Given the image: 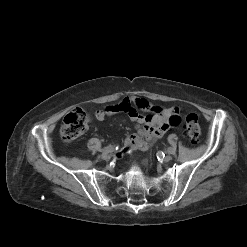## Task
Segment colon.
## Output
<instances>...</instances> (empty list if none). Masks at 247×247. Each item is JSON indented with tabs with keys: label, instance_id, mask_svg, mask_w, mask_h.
<instances>
[{
	"label": "colon",
	"instance_id": "colon-1",
	"mask_svg": "<svg viewBox=\"0 0 247 247\" xmlns=\"http://www.w3.org/2000/svg\"><path fill=\"white\" fill-rule=\"evenodd\" d=\"M88 122V114L83 109H74L64 117L60 128L61 138L66 142L77 139L86 130ZM185 129L191 142L197 144L201 139V126L197 114L190 113L185 117Z\"/></svg>",
	"mask_w": 247,
	"mask_h": 247
}]
</instances>
